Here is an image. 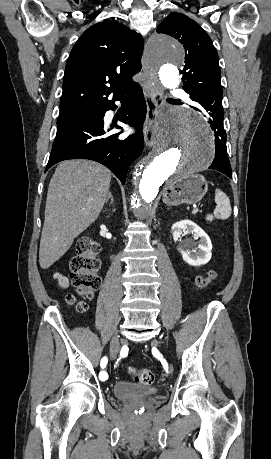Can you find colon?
Segmentation results:
<instances>
[{
	"instance_id": "5ec220e1",
	"label": "colon",
	"mask_w": 271,
	"mask_h": 459,
	"mask_svg": "<svg viewBox=\"0 0 271 459\" xmlns=\"http://www.w3.org/2000/svg\"><path fill=\"white\" fill-rule=\"evenodd\" d=\"M78 2V0H74ZM99 245L89 236H82L76 244V254L70 261V278L79 299L74 295H68L67 301L74 305L79 312L87 310L86 300L90 299L100 286V278L97 274L100 260L97 256ZM215 274L209 273L195 280L196 289L207 287L214 279ZM128 372L133 378L143 384L150 385L154 381V374L146 368L129 367Z\"/></svg>"
}]
</instances>
